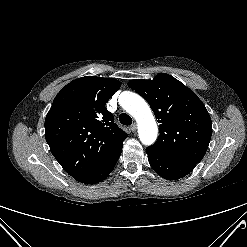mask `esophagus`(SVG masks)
<instances>
[{"label": "esophagus", "instance_id": "34e87169", "mask_svg": "<svg viewBox=\"0 0 247 247\" xmlns=\"http://www.w3.org/2000/svg\"><path fill=\"white\" fill-rule=\"evenodd\" d=\"M131 131L132 132H136V129H137V124L136 123H133L130 127Z\"/></svg>", "mask_w": 247, "mask_h": 247}]
</instances>
